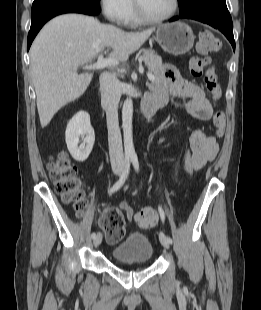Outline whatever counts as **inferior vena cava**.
Wrapping results in <instances>:
<instances>
[{
  "mask_svg": "<svg viewBox=\"0 0 261 310\" xmlns=\"http://www.w3.org/2000/svg\"><path fill=\"white\" fill-rule=\"evenodd\" d=\"M101 104L106 111L109 155L112 167H122L124 155L118 123V103L120 100L119 80L114 73L100 75Z\"/></svg>",
  "mask_w": 261,
  "mask_h": 310,
  "instance_id": "obj_1",
  "label": "inferior vena cava"
}]
</instances>
